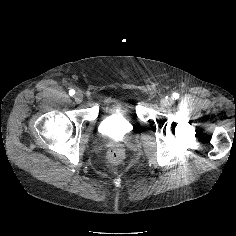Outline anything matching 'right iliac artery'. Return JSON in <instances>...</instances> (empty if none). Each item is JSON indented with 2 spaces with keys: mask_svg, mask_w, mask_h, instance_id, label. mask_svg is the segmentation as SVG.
Returning a JSON list of instances; mask_svg holds the SVG:
<instances>
[{
  "mask_svg": "<svg viewBox=\"0 0 236 236\" xmlns=\"http://www.w3.org/2000/svg\"><path fill=\"white\" fill-rule=\"evenodd\" d=\"M74 94H75V90H73V89L69 90V95L70 96H73Z\"/></svg>",
  "mask_w": 236,
  "mask_h": 236,
  "instance_id": "82829eb1",
  "label": "right iliac artery"
}]
</instances>
